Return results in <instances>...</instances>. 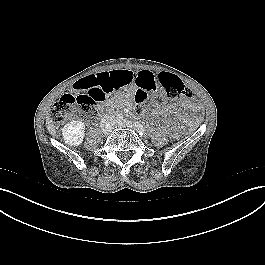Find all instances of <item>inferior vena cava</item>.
Here are the masks:
<instances>
[{
    "label": "inferior vena cava",
    "mask_w": 265,
    "mask_h": 265,
    "mask_svg": "<svg viewBox=\"0 0 265 265\" xmlns=\"http://www.w3.org/2000/svg\"><path fill=\"white\" fill-rule=\"evenodd\" d=\"M110 120V117L109 116H105L102 121H101V126L104 128V130H106V124H107V121Z\"/></svg>",
    "instance_id": "1"
}]
</instances>
